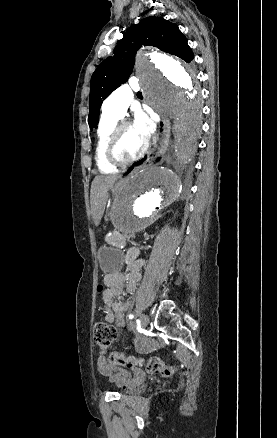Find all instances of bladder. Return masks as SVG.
Listing matches in <instances>:
<instances>
[{
	"label": "bladder",
	"mask_w": 277,
	"mask_h": 438,
	"mask_svg": "<svg viewBox=\"0 0 277 438\" xmlns=\"http://www.w3.org/2000/svg\"><path fill=\"white\" fill-rule=\"evenodd\" d=\"M140 381H129L128 384L126 385V388L124 390H122L121 394L122 395H131L133 393H135L140 385Z\"/></svg>",
	"instance_id": "1"
}]
</instances>
